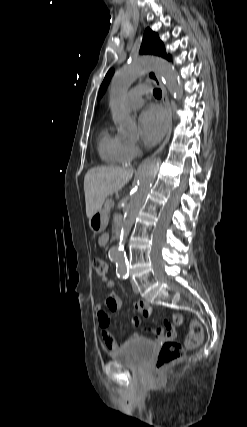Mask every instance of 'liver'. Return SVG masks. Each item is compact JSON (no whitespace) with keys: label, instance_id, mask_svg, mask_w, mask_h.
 Wrapping results in <instances>:
<instances>
[{"label":"liver","instance_id":"1","mask_svg":"<svg viewBox=\"0 0 247 427\" xmlns=\"http://www.w3.org/2000/svg\"><path fill=\"white\" fill-rule=\"evenodd\" d=\"M132 176V168L102 166L88 170L84 177L88 219L101 210L107 196L119 191Z\"/></svg>","mask_w":247,"mask_h":427}]
</instances>
